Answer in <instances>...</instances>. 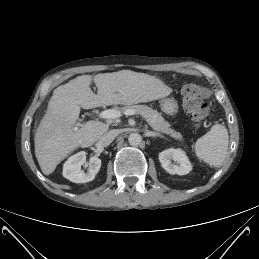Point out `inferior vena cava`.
<instances>
[{"instance_id":"602c4592","label":"inferior vena cava","mask_w":259,"mask_h":259,"mask_svg":"<svg viewBox=\"0 0 259 259\" xmlns=\"http://www.w3.org/2000/svg\"><path fill=\"white\" fill-rule=\"evenodd\" d=\"M117 135L118 133L116 130H110L100 137L99 143L102 146H108L116 138Z\"/></svg>"}]
</instances>
